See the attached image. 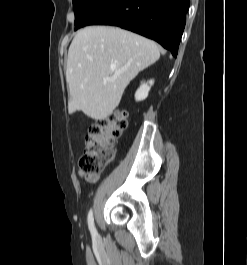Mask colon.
Returning a JSON list of instances; mask_svg holds the SVG:
<instances>
[{
	"label": "colon",
	"mask_w": 247,
	"mask_h": 265,
	"mask_svg": "<svg viewBox=\"0 0 247 265\" xmlns=\"http://www.w3.org/2000/svg\"><path fill=\"white\" fill-rule=\"evenodd\" d=\"M126 126V112L117 110L89 127L86 148L80 159V166L84 173L97 175L113 159V146Z\"/></svg>",
	"instance_id": "5ec220e1"
}]
</instances>
